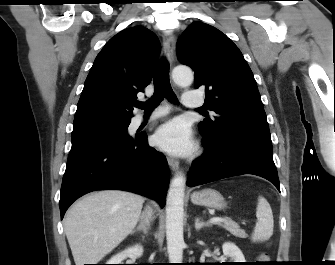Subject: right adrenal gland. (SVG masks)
<instances>
[{"label":"right adrenal gland","mask_w":335,"mask_h":265,"mask_svg":"<svg viewBox=\"0 0 335 265\" xmlns=\"http://www.w3.org/2000/svg\"><path fill=\"white\" fill-rule=\"evenodd\" d=\"M150 228V223L148 219L145 217L144 214L140 216V224L137 226L136 229H134L131 234H134L135 232H143L145 235L148 234V230Z\"/></svg>","instance_id":"2a0ac1e0"}]
</instances>
